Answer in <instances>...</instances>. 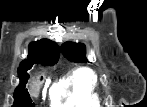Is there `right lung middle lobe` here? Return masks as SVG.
<instances>
[{
	"mask_svg": "<svg viewBox=\"0 0 147 107\" xmlns=\"http://www.w3.org/2000/svg\"><path fill=\"white\" fill-rule=\"evenodd\" d=\"M32 67L26 66L24 67L21 72H18L19 78H20V84L15 89L14 93V104L12 107H32L33 104L31 103L32 100L29 96V93L27 89H25L27 80L29 78V74L26 72Z\"/></svg>",
	"mask_w": 147,
	"mask_h": 107,
	"instance_id": "obj_1",
	"label": "right lung middle lobe"
}]
</instances>
